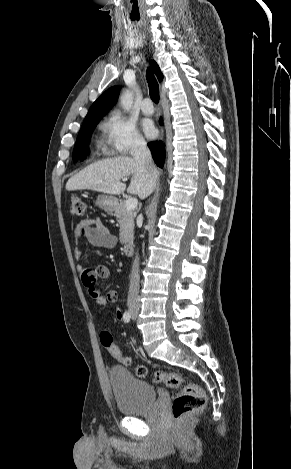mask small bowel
Instances as JSON below:
<instances>
[{"instance_id": "obj_1", "label": "small bowel", "mask_w": 291, "mask_h": 469, "mask_svg": "<svg viewBox=\"0 0 291 469\" xmlns=\"http://www.w3.org/2000/svg\"><path fill=\"white\" fill-rule=\"evenodd\" d=\"M73 236L75 239L74 256L76 260H79L81 257L79 243L82 239H87L91 245L100 248H113L116 245L115 236L111 234L100 219H85L80 221L75 226ZM77 269L82 273V282L92 298L101 296L106 305L117 302V291L109 290L106 295H102L96 286L98 279H107L110 275L109 268L106 265L101 264L95 268H85L82 264H78ZM116 317L120 320L123 318L119 310L116 312Z\"/></svg>"}]
</instances>
